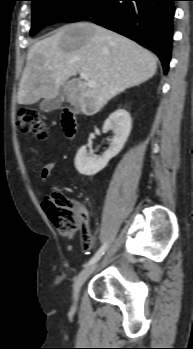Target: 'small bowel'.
I'll return each mask as SVG.
<instances>
[{
	"mask_svg": "<svg viewBox=\"0 0 193 349\" xmlns=\"http://www.w3.org/2000/svg\"><path fill=\"white\" fill-rule=\"evenodd\" d=\"M55 166H56V161H50L43 167L41 174L44 181H47L52 176ZM81 215L84 219V222L86 223L88 220V212L86 208L84 207L81 208ZM83 237H84V244L85 246H87L89 244L90 239L86 232V229H84Z\"/></svg>",
	"mask_w": 193,
	"mask_h": 349,
	"instance_id": "small-bowel-1",
	"label": "small bowel"
}]
</instances>
